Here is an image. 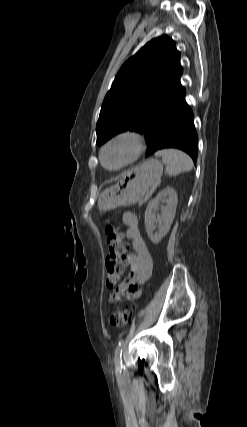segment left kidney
Listing matches in <instances>:
<instances>
[{"mask_svg":"<svg viewBox=\"0 0 247 427\" xmlns=\"http://www.w3.org/2000/svg\"><path fill=\"white\" fill-rule=\"evenodd\" d=\"M160 203H162L161 206ZM163 203H166V205H163ZM177 203V192L171 187L161 190L148 203L145 211V228L152 243L158 244L169 232L176 214ZM159 207L161 208V214L156 215Z\"/></svg>","mask_w":247,"mask_h":427,"instance_id":"5707ae66","label":"left kidney"}]
</instances>
